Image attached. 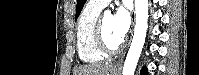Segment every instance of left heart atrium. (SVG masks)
<instances>
[{
	"instance_id": "1",
	"label": "left heart atrium",
	"mask_w": 199,
	"mask_h": 75,
	"mask_svg": "<svg viewBox=\"0 0 199 75\" xmlns=\"http://www.w3.org/2000/svg\"><path fill=\"white\" fill-rule=\"evenodd\" d=\"M113 30L122 41L130 27V16L124 8H119L113 17Z\"/></svg>"
}]
</instances>
